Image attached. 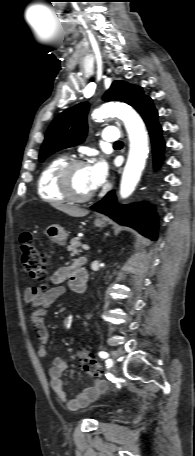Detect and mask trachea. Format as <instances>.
Segmentation results:
<instances>
[{
    "label": "trachea",
    "mask_w": 195,
    "mask_h": 456,
    "mask_svg": "<svg viewBox=\"0 0 195 456\" xmlns=\"http://www.w3.org/2000/svg\"><path fill=\"white\" fill-rule=\"evenodd\" d=\"M123 143L121 141H117L114 145L115 146H119V145H122Z\"/></svg>",
    "instance_id": "3493384b"
}]
</instances>
